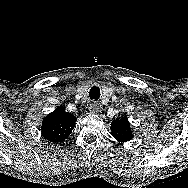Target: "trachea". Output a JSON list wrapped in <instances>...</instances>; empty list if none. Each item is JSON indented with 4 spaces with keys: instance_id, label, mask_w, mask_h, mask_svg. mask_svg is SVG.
<instances>
[{
    "instance_id": "3493384b",
    "label": "trachea",
    "mask_w": 188,
    "mask_h": 188,
    "mask_svg": "<svg viewBox=\"0 0 188 188\" xmlns=\"http://www.w3.org/2000/svg\"><path fill=\"white\" fill-rule=\"evenodd\" d=\"M100 95V88L98 86H93L89 91V97L91 100H98Z\"/></svg>"
}]
</instances>
